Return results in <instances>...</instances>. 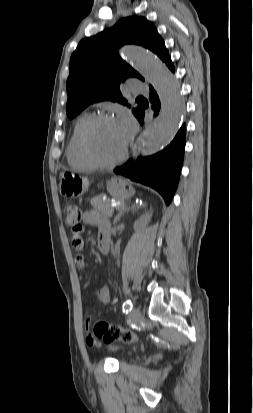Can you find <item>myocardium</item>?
<instances>
[{
    "label": "myocardium",
    "instance_id": "f54148a6",
    "mask_svg": "<svg viewBox=\"0 0 253 413\" xmlns=\"http://www.w3.org/2000/svg\"><path fill=\"white\" fill-rule=\"evenodd\" d=\"M101 122H116V119L108 114L91 116L81 128L79 134V147L84 158L94 167L111 168L125 160L128 154V145L126 144L122 153L113 160L106 161L98 159L90 149L88 137L92 128Z\"/></svg>",
    "mask_w": 253,
    "mask_h": 413
}]
</instances>
